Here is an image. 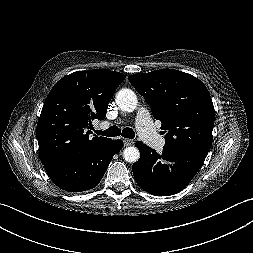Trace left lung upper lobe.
I'll use <instances>...</instances> for the list:
<instances>
[{
	"label": "left lung upper lobe",
	"mask_w": 253,
	"mask_h": 253,
	"mask_svg": "<svg viewBox=\"0 0 253 253\" xmlns=\"http://www.w3.org/2000/svg\"><path fill=\"white\" fill-rule=\"evenodd\" d=\"M145 98L166 133L163 151L207 154L212 144L215 111L206 86L196 77L173 69L128 77Z\"/></svg>",
	"instance_id": "obj_1"
}]
</instances>
